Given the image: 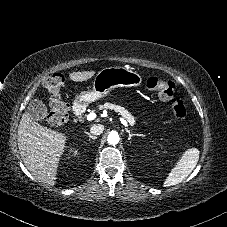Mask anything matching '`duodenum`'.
I'll return each mask as SVG.
<instances>
[{"label": "duodenum", "mask_w": 227, "mask_h": 227, "mask_svg": "<svg viewBox=\"0 0 227 227\" xmlns=\"http://www.w3.org/2000/svg\"><path fill=\"white\" fill-rule=\"evenodd\" d=\"M73 110H74V114L76 117H82L84 112H85V108L82 104H75L73 106Z\"/></svg>", "instance_id": "obj_1"}]
</instances>
